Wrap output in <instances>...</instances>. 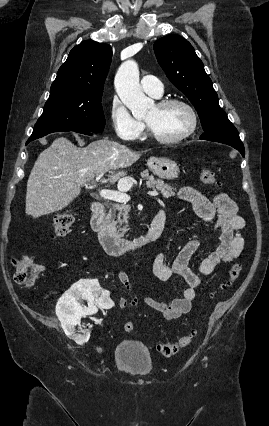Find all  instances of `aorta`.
Listing matches in <instances>:
<instances>
[{
    "label": "aorta",
    "mask_w": 269,
    "mask_h": 426,
    "mask_svg": "<svg viewBox=\"0 0 269 426\" xmlns=\"http://www.w3.org/2000/svg\"><path fill=\"white\" fill-rule=\"evenodd\" d=\"M116 91L137 119L146 115L153 100L146 97L139 84V69L133 60L124 62L115 76Z\"/></svg>",
    "instance_id": "obj_1"
}]
</instances>
